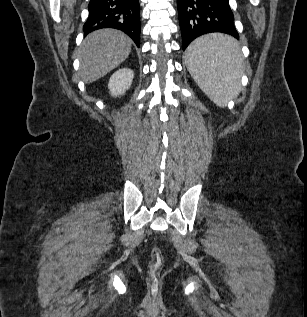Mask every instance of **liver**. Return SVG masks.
<instances>
[{"label": "liver", "mask_w": 307, "mask_h": 317, "mask_svg": "<svg viewBox=\"0 0 307 317\" xmlns=\"http://www.w3.org/2000/svg\"><path fill=\"white\" fill-rule=\"evenodd\" d=\"M132 40L115 29H100L89 34L79 50V73L92 83L119 66L130 54Z\"/></svg>", "instance_id": "obj_1"}]
</instances>
